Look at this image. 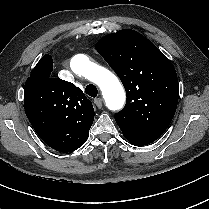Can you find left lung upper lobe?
<instances>
[{
    "label": "left lung upper lobe",
    "mask_w": 209,
    "mask_h": 209,
    "mask_svg": "<svg viewBox=\"0 0 209 209\" xmlns=\"http://www.w3.org/2000/svg\"><path fill=\"white\" fill-rule=\"evenodd\" d=\"M96 49L125 87L126 105L115 114L123 135L136 145L152 143L168 128L176 111L179 87L174 66L134 30L109 34L97 42Z\"/></svg>",
    "instance_id": "obj_1"
}]
</instances>
